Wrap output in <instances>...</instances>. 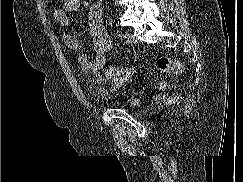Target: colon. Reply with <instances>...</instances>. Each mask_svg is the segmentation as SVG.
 <instances>
[{"instance_id": "1", "label": "colon", "mask_w": 243, "mask_h": 182, "mask_svg": "<svg viewBox=\"0 0 243 182\" xmlns=\"http://www.w3.org/2000/svg\"><path fill=\"white\" fill-rule=\"evenodd\" d=\"M158 68L165 73H179L183 66L182 63L171 57L163 56L157 61ZM135 71L126 67H110L104 71V75L111 81H124L131 77Z\"/></svg>"}]
</instances>
